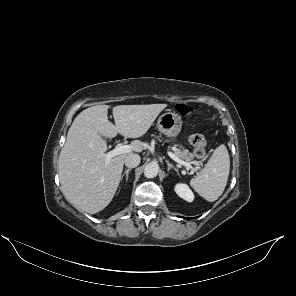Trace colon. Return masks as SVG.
I'll use <instances>...</instances> for the list:
<instances>
[{
    "instance_id": "obj_1",
    "label": "colon",
    "mask_w": 296,
    "mask_h": 296,
    "mask_svg": "<svg viewBox=\"0 0 296 296\" xmlns=\"http://www.w3.org/2000/svg\"><path fill=\"white\" fill-rule=\"evenodd\" d=\"M176 111L182 115L187 116L191 114L192 109L187 104H177ZM189 142L194 149V154L198 159H204L206 157V139L201 134H193L189 138Z\"/></svg>"
}]
</instances>
